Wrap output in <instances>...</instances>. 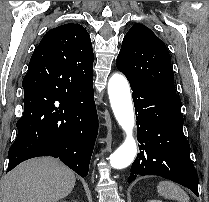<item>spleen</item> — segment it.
<instances>
[{
    "label": "spleen",
    "mask_w": 209,
    "mask_h": 202,
    "mask_svg": "<svg viewBox=\"0 0 209 202\" xmlns=\"http://www.w3.org/2000/svg\"><path fill=\"white\" fill-rule=\"evenodd\" d=\"M159 195L178 202H189V196L178 185L170 181H161L157 186Z\"/></svg>",
    "instance_id": "spleen-1"
}]
</instances>
